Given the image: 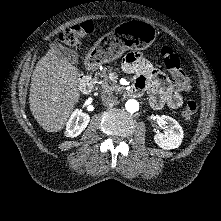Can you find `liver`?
I'll return each instance as SVG.
<instances>
[{
    "mask_svg": "<svg viewBox=\"0 0 221 221\" xmlns=\"http://www.w3.org/2000/svg\"><path fill=\"white\" fill-rule=\"evenodd\" d=\"M80 71L52 47L36 64L31 77L32 115L47 132L62 130L80 98Z\"/></svg>",
    "mask_w": 221,
    "mask_h": 221,
    "instance_id": "1",
    "label": "liver"
}]
</instances>
